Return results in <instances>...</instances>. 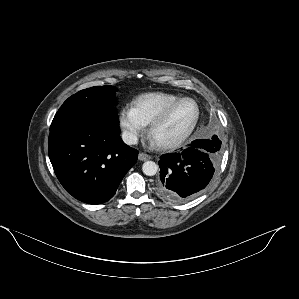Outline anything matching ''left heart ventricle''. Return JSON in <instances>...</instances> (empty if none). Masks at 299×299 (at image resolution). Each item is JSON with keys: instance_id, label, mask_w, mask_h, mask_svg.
<instances>
[{"instance_id": "b2bd125f", "label": "left heart ventricle", "mask_w": 299, "mask_h": 299, "mask_svg": "<svg viewBox=\"0 0 299 299\" xmlns=\"http://www.w3.org/2000/svg\"><path fill=\"white\" fill-rule=\"evenodd\" d=\"M196 115V107L191 101L180 103L154 133L155 142L173 140L185 133Z\"/></svg>"}]
</instances>
